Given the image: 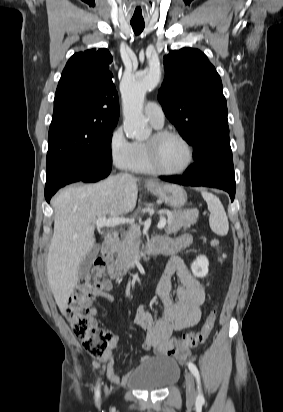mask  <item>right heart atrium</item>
Listing matches in <instances>:
<instances>
[{"label":"right heart atrium","instance_id":"right-heart-atrium-1","mask_svg":"<svg viewBox=\"0 0 283 412\" xmlns=\"http://www.w3.org/2000/svg\"><path fill=\"white\" fill-rule=\"evenodd\" d=\"M108 149L111 160L117 168H129L133 157V143L127 139L121 126L111 132Z\"/></svg>","mask_w":283,"mask_h":412}]
</instances>
